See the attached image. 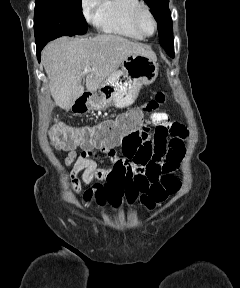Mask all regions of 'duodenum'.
Returning <instances> with one entry per match:
<instances>
[{"mask_svg": "<svg viewBox=\"0 0 240 288\" xmlns=\"http://www.w3.org/2000/svg\"><path fill=\"white\" fill-rule=\"evenodd\" d=\"M90 96L88 95H83L80 99H79V105L81 106H85L87 104V102L89 101Z\"/></svg>", "mask_w": 240, "mask_h": 288, "instance_id": "duodenum-1", "label": "duodenum"}]
</instances>
